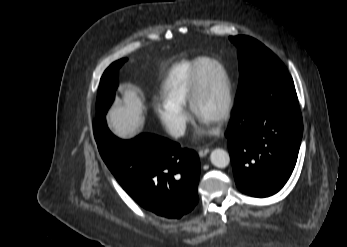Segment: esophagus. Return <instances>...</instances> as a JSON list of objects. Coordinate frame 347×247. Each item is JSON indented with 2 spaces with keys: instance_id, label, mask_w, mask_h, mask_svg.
<instances>
[{
  "instance_id": "esophagus-1",
  "label": "esophagus",
  "mask_w": 347,
  "mask_h": 247,
  "mask_svg": "<svg viewBox=\"0 0 347 247\" xmlns=\"http://www.w3.org/2000/svg\"><path fill=\"white\" fill-rule=\"evenodd\" d=\"M209 153V148H201L199 151H198V154L200 157H205L207 154Z\"/></svg>"
}]
</instances>
